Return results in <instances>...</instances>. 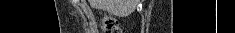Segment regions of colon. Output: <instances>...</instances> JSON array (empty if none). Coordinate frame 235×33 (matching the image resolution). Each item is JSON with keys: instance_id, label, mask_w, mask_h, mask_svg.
Returning <instances> with one entry per match:
<instances>
[{"instance_id": "colon-1", "label": "colon", "mask_w": 235, "mask_h": 33, "mask_svg": "<svg viewBox=\"0 0 235 33\" xmlns=\"http://www.w3.org/2000/svg\"><path fill=\"white\" fill-rule=\"evenodd\" d=\"M102 29L104 33H120L118 22L111 16L102 19Z\"/></svg>"}]
</instances>
